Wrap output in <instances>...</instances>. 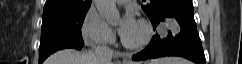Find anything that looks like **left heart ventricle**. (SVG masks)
<instances>
[{"label":"left heart ventricle","instance_id":"1","mask_svg":"<svg viewBox=\"0 0 242 64\" xmlns=\"http://www.w3.org/2000/svg\"><path fill=\"white\" fill-rule=\"evenodd\" d=\"M141 37H142V30H141V27L138 25L136 30L129 37L125 39L130 42H137L141 39Z\"/></svg>","mask_w":242,"mask_h":64}]
</instances>
